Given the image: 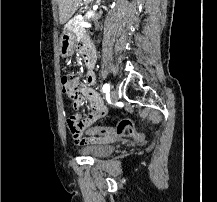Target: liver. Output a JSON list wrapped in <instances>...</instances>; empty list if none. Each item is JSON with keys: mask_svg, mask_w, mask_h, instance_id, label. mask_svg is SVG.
Returning <instances> with one entry per match:
<instances>
[{"mask_svg": "<svg viewBox=\"0 0 217 202\" xmlns=\"http://www.w3.org/2000/svg\"><path fill=\"white\" fill-rule=\"evenodd\" d=\"M81 2L82 0H58L60 24H65L69 18H72Z\"/></svg>", "mask_w": 217, "mask_h": 202, "instance_id": "liver-1", "label": "liver"}]
</instances>
